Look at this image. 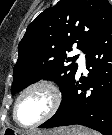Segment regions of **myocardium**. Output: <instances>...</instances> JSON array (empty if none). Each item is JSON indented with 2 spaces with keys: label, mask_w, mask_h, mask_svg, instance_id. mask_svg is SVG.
I'll list each match as a JSON object with an SVG mask.
<instances>
[{
  "label": "myocardium",
  "mask_w": 112,
  "mask_h": 135,
  "mask_svg": "<svg viewBox=\"0 0 112 135\" xmlns=\"http://www.w3.org/2000/svg\"><path fill=\"white\" fill-rule=\"evenodd\" d=\"M36 88H44L51 93L52 105H51L50 110L47 112V114L44 117H42L41 119H39L38 121H36L32 124H24L19 120L18 115H17L18 105H19L21 98L27 92H29L30 90L36 89ZM61 102H62V94L55 85H53L52 83H50L48 81H37V82H34V83L28 85L27 87H25L20 92V94L17 96L15 103H14V107H13V118H14L15 122L21 127L34 128V127H37V126L43 124L50 118H52L55 115V113L58 111V109L61 105Z\"/></svg>",
  "instance_id": "f54148a6"
}]
</instances>
